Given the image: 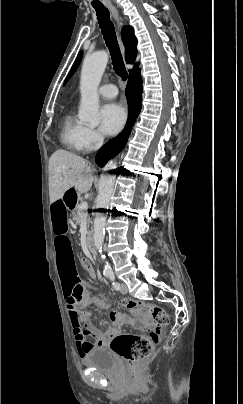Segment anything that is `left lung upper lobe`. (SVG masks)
I'll use <instances>...</instances> for the list:
<instances>
[{
  "label": "left lung upper lobe",
  "instance_id": "obj_1",
  "mask_svg": "<svg viewBox=\"0 0 243 404\" xmlns=\"http://www.w3.org/2000/svg\"><path fill=\"white\" fill-rule=\"evenodd\" d=\"M82 54H83L82 51L79 52V54H78V56H77V58H76V60H75V62H74V64H73V66H72V68H71V70H70V72H69V74H68V76H67V78H66V80H65V83H66L67 80L73 75V73L76 71V69H77V67H78V65H79V63H80V61H81Z\"/></svg>",
  "mask_w": 243,
  "mask_h": 404
}]
</instances>
